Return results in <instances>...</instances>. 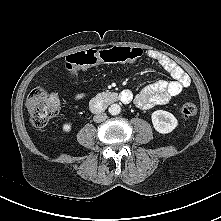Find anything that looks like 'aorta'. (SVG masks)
Returning <instances> with one entry per match:
<instances>
[{
  "mask_svg": "<svg viewBox=\"0 0 221 221\" xmlns=\"http://www.w3.org/2000/svg\"><path fill=\"white\" fill-rule=\"evenodd\" d=\"M108 112L111 115H118L121 112V107L118 104H112L110 105V107L108 108Z\"/></svg>",
  "mask_w": 221,
  "mask_h": 221,
  "instance_id": "1",
  "label": "aorta"
}]
</instances>
